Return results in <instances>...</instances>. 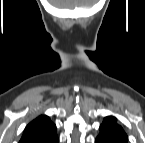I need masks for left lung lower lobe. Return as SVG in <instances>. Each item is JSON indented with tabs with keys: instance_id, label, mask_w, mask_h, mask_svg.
<instances>
[{
	"instance_id": "1",
	"label": "left lung lower lobe",
	"mask_w": 145,
	"mask_h": 143,
	"mask_svg": "<svg viewBox=\"0 0 145 143\" xmlns=\"http://www.w3.org/2000/svg\"><path fill=\"white\" fill-rule=\"evenodd\" d=\"M95 143H113L112 141L106 139V138H103V137H97L96 140H95Z\"/></svg>"
}]
</instances>
